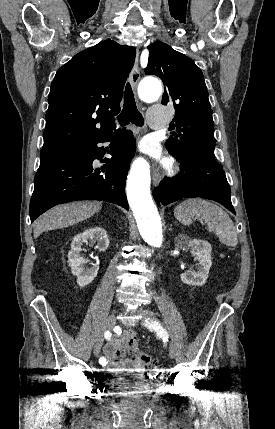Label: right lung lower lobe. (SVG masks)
Wrapping results in <instances>:
<instances>
[{"instance_id": "98d812e1", "label": "right lung lower lobe", "mask_w": 275, "mask_h": 429, "mask_svg": "<svg viewBox=\"0 0 275 429\" xmlns=\"http://www.w3.org/2000/svg\"><path fill=\"white\" fill-rule=\"evenodd\" d=\"M104 142H111L110 149L97 146ZM135 149L131 131L109 132L41 158L30 201L31 221L57 204L75 200H103L129 210L125 183ZM106 152L112 158L103 159ZM95 159L104 165L93 167Z\"/></svg>"}]
</instances>
